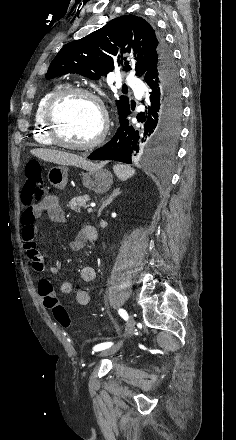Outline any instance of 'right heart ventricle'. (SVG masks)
<instances>
[{
    "instance_id": "right-heart-ventricle-1",
    "label": "right heart ventricle",
    "mask_w": 236,
    "mask_h": 440,
    "mask_svg": "<svg viewBox=\"0 0 236 440\" xmlns=\"http://www.w3.org/2000/svg\"><path fill=\"white\" fill-rule=\"evenodd\" d=\"M62 88L61 85H55L53 88L48 90L42 97L39 99L33 117V138L34 140L41 145L44 146H53L54 142L51 140L47 133L46 126L44 124V110L45 106L49 100V98L58 90Z\"/></svg>"
}]
</instances>
